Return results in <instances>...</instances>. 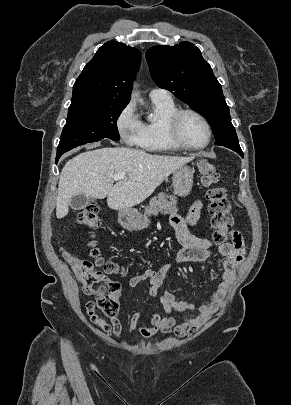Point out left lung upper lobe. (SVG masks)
<instances>
[{"label": "left lung upper lobe", "instance_id": "5c2ea615", "mask_svg": "<svg viewBox=\"0 0 291 405\" xmlns=\"http://www.w3.org/2000/svg\"><path fill=\"white\" fill-rule=\"evenodd\" d=\"M154 82L201 113L211 125L216 145L241 149L220 83L198 47L183 41L146 51Z\"/></svg>", "mask_w": 291, "mask_h": 405}]
</instances>
